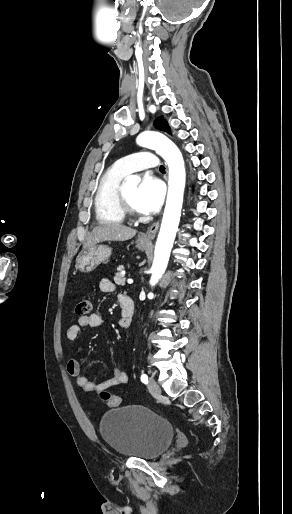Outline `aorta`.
I'll return each mask as SVG.
<instances>
[{
  "label": "aorta",
  "mask_w": 292,
  "mask_h": 514,
  "mask_svg": "<svg viewBox=\"0 0 292 514\" xmlns=\"http://www.w3.org/2000/svg\"><path fill=\"white\" fill-rule=\"evenodd\" d=\"M138 146L156 150L167 162L169 168L168 194L163 220L155 246V258L152 266L151 286H155L162 278L170 258L176 232L178 230L183 194L186 182L184 160L177 146L159 132H142L137 138ZM137 176H128L126 186H137Z\"/></svg>",
  "instance_id": "1"
}]
</instances>
